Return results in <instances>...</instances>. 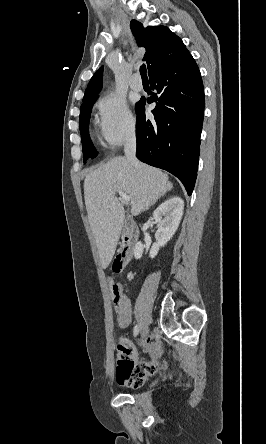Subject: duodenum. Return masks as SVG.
<instances>
[{"instance_id": "1", "label": "duodenum", "mask_w": 266, "mask_h": 444, "mask_svg": "<svg viewBox=\"0 0 266 444\" xmlns=\"http://www.w3.org/2000/svg\"><path fill=\"white\" fill-rule=\"evenodd\" d=\"M138 230L130 221L126 223V231L124 233L121 249L115 258V266H117V271L123 270L129 263L132 247L134 242L137 240Z\"/></svg>"}]
</instances>
